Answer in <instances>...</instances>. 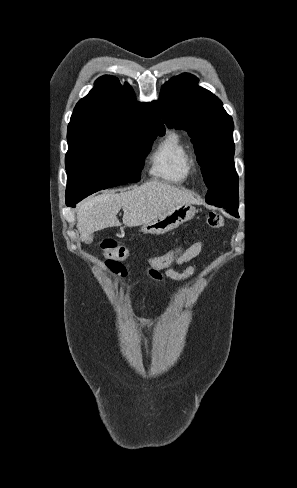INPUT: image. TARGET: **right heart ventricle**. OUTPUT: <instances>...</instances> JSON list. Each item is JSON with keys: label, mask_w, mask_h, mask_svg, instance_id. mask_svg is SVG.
Returning a JSON list of instances; mask_svg holds the SVG:
<instances>
[{"label": "right heart ventricle", "mask_w": 297, "mask_h": 488, "mask_svg": "<svg viewBox=\"0 0 297 488\" xmlns=\"http://www.w3.org/2000/svg\"><path fill=\"white\" fill-rule=\"evenodd\" d=\"M190 157V151L181 135L170 131L157 142L150 155L149 174L167 182H182L190 173Z\"/></svg>", "instance_id": "right-heart-ventricle-1"}]
</instances>
